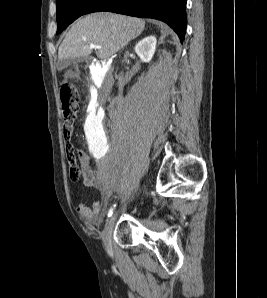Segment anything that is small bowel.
I'll use <instances>...</instances> for the list:
<instances>
[{"instance_id":"obj_1","label":"small bowel","mask_w":267,"mask_h":298,"mask_svg":"<svg viewBox=\"0 0 267 298\" xmlns=\"http://www.w3.org/2000/svg\"><path fill=\"white\" fill-rule=\"evenodd\" d=\"M82 176L83 184L86 188H93L96 178V173L90 168L86 159L82 162ZM112 196V191H107L102 193V202H95L91 206L81 203L77 207V212L79 216L89 224H99L102 219L103 212L107 207L109 199Z\"/></svg>"}]
</instances>
